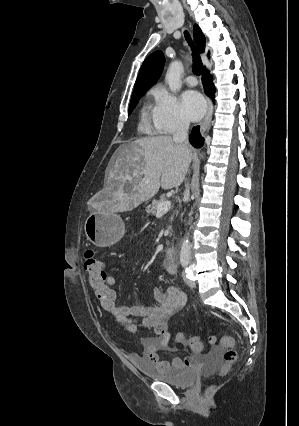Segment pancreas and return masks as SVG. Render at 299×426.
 <instances>
[{
    "label": "pancreas",
    "mask_w": 299,
    "mask_h": 426,
    "mask_svg": "<svg viewBox=\"0 0 299 426\" xmlns=\"http://www.w3.org/2000/svg\"><path fill=\"white\" fill-rule=\"evenodd\" d=\"M166 201H167V200H166L164 197H161L159 200H154V201L152 202L151 206L147 209V213H148V214L155 215V214H156V212H157L158 205H159L160 203H164V202H166Z\"/></svg>",
    "instance_id": "cf45deb5"
}]
</instances>
